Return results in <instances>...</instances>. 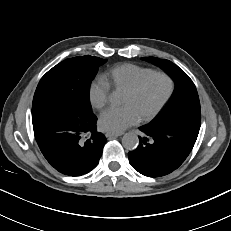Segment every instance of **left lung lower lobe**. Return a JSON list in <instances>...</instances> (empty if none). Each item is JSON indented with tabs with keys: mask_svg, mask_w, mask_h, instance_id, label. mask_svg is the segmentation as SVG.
<instances>
[{
	"mask_svg": "<svg viewBox=\"0 0 231 231\" xmlns=\"http://www.w3.org/2000/svg\"><path fill=\"white\" fill-rule=\"evenodd\" d=\"M139 146L128 153L130 165L148 177H160L176 170L191 152L199 128L186 126L140 127Z\"/></svg>",
	"mask_w": 231,
	"mask_h": 231,
	"instance_id": "0a47b994",
	"label": "left lung lower lobe"
}]
</instances>
